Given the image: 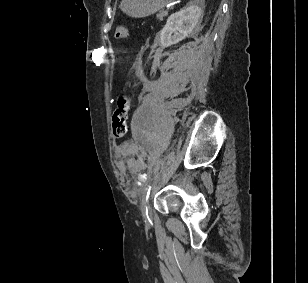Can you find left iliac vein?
Returning <instances> with one entry per match:
<instances>
[{
    "label": "left iliac vein",
    "instance_id": "1",
    "mask_svg": "<svg viewBox=\"0 0 308 283\" xmlns=\"http://www.w3.org/2000/svg\"><path fill=\"white\" fill-rule=\"evenodd\" d=\"M141 210H142V213H143V216L146 220H149L151 218V211L149 209V204L141 207Z\"/></svg>",
    "mask_w": 308,
    "mask_h": 283
}]
</instances>
